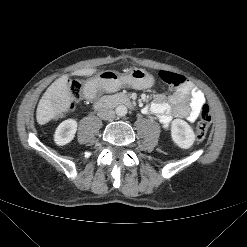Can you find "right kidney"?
Listing matches in <instances>:
<instances>
[{
  "instance_id": "1",
  "label": "right kidney",
  "mask_w": 247,
  "mask_h": 247,
  "mask_svg": "<svg viewBox=\"0 0 247 247\" xmlns=\"http://www.w3.org/2000/svg\"><path fill=\"white\" fill-rule=\"evenodd\" d=\"M77 122L67 119L59 124L54 134V141L57 145L63 146L71 142L77 131Z\"/></svg>"
}]
</instances>
